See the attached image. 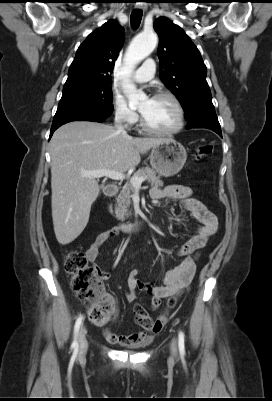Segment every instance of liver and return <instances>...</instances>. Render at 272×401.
<instances>
[{
    "instance_id": "obj_1",
    "label": "liver",
    "mask_w": 272,
    "mask_h": 401,
    "mask_svg": "<svg viewBox=\"0 0 272 401\" xmlns=\"http://www.w3.org/2000/svg\"><path fill=\"white\" fill-rule=\"evenodd\" d=\"M162 138H133L110 125L74 121L58 128L51 139V207L57 241L66 245L86 227L91 205L99 195L96 178L82 171L134 169L141 154Z\"/></svg>"
}]
</instances>
